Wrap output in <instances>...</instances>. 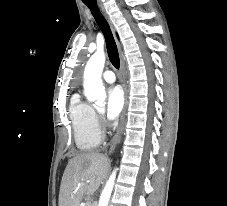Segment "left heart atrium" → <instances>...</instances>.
<instances>
[{
    "instance_id": "obj_1",
    "label": "left heart atrium",
    "mask_w": 227,
    "mask_h": 206,
    "mask_svg": "<svg viewBox=\"0 0 227 206\" xmlns=\"http://www.w3.org/2000/svg\"><path fill=\"white\" fill-rule=\"evenodd\" d=\"M124 106L123 91L119 86L109 88L107 92V117L109 120L116 119Z\"/></svg>"
}]
</instances>
